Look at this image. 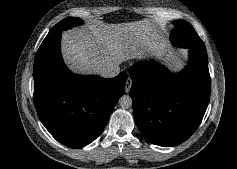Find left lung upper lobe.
<instances>
[{"instance_id":"5c2ea615","label":"left lung upper lobe","mask_w":237,"mask_h":169,"mask_svg":"<svg viewBox=\"0 0 237 169\" xmlns=\"http://www.w3.org/2000/svg\"><path fill=\"white\" fill-rule=\"evenodd\" d=\"M173 24L175 28L171 31L170 39L175 46L205 49L203 41L188 22L179 20L174 21Z\"/></svg>"}]
</instances>
